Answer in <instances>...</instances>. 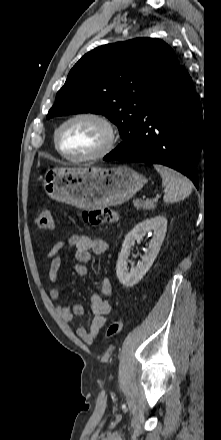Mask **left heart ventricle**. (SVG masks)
Here are the masks:
<instances>
[{
	"instance_id": "b2bd125f",
	"label": "left heart ventricle",
	"mask_w": 221,
	"mask_h": 440,
	"mask_svg": "<svg viewBox=\"0 0 221 440\" xmlns=\"http://www.w3.org/2000/svg\"><path fill=\"white\" fill-rule=\"evenodd\" d=\"M105 138V130L99 123L81 119L63 128L59 143L64 153L82 157L97 152L104 144Z\"/></svg>"
}]
</instances>
